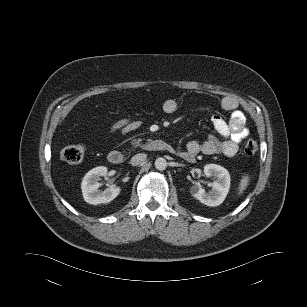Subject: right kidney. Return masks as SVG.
<instances>
[{"label": "right kidney", "mask_w": 307, "mask_h": 307, "mask_svg": "<svg viewBox=\"0 0 307 307\" xmlns=\"http://www.w3.org/2000/svg\"><path fill=\"white\" fill-rule=\"evenodd\" d=\"M107 171V167L99 166L93 168L84 176L81 189L83 198L87 203L93 205L106 204L115 199L120 193L119 187H111L105 191L98 190L101 185L98 181L100 177L107 175Z\"/></svg>", "instance_id": "1"}]
</instances>
